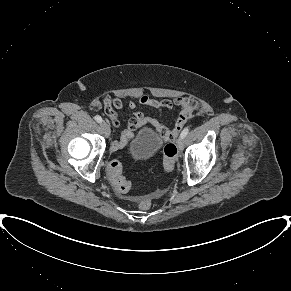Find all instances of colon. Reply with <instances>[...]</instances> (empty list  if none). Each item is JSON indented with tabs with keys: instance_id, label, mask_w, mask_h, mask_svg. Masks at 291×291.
Returning a JSON list of instances; mask_svg holds the SVG:
<instances>
[{
	"instance_id": "5ec220e1",
	"label": "colon",
	"mask_w": 291,
	"mask_h": 291,
	"mask_svg": "<svg viewBox=\"0 0 291 291\" xmlns=\"http://www.w3.org/2000/svg\"><path fill=\"white\" fill-rule=\"evenodd\" d=\"M177 148L174 143H168L163 148V169L166 172H171L176 165ZM109 179L115 190L120 194L129 192L132 184L123 174L122 164L118 160H113L108 166ZM152 207V200L150 197H142L138 201V208L146 211Z\"/></svg>"
}]
</instances>
